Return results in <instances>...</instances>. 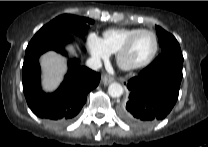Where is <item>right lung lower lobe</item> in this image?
I'll return each mask as SVG.
<instances>
[{
  "mask_svg": "<svg viewBox=\"0 0 208 147\" xmlns=\"http://www.w3.org/2000/svg\"><path fill=\"white\" fill-rule=\"evenodd\" d=\"M72 40L68 32H58L49 37L30 41L23 63V91L32 112L55 124L70 122L86 102L87 94L100 81V74L80 66L77 60H70L69 70L63 83L52 94H46L40 87L39 57L48 50L65 54L64 44Z\"/></svg>",
  "mask_w": 208,
  "mask_h": 147,
  "instance_id": "right-lung-lower-lobe-1",
  "label": "right lung lower lobe"
}]
</instances>
